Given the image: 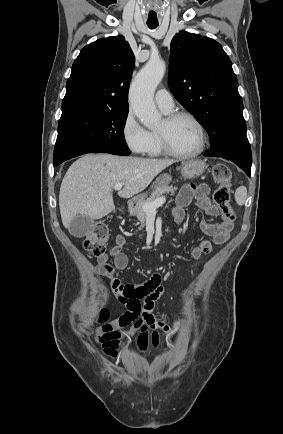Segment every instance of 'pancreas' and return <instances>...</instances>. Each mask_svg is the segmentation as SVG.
<instances>
[{
	"label": "pancreas",
	"instance_id": "1",
	"mask_svg": "<svg viewBox=\"0 0 283 434\" xmlns=\"http://www.w3.org/2000/svg\"><path fill=\"white\" fill-rule=\"evenodd\" d=\"M176 190V187L167 185L156 187V189L152 192V195L149 198L145 199L136 208H129L130 214L136 215L141 224V227H143L147 217L146 212L143 209L144 204L153 202L156 199L162 197L164 194L171 193V195H174Z\"/></svg>",
	"mask_w": 283,
	"mask_h": 434
}]
</instances>
